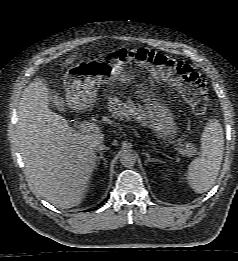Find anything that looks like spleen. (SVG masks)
<instances>
[{"mask_svg": "<svg viewBox=\"0 0 238 261\" xmlns=\"http://www.w3.org/2000/svg\"><path fill=\"white\" fill-rule=\"evenodd\" d=\"M224 136L221 124L210 120L201 135V154L194 159L186 174L187 181L195 193L207 192L214 185L223 158Z\"/></svg>", "mask_w": 238, "mask_h": 261, "instance_id": "spleen-1", "label": "spleen"}]
</instances>
